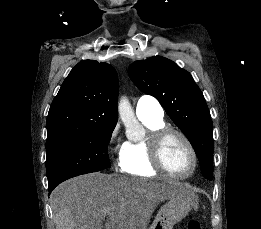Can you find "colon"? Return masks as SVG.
<instances>
[{
  "mask_svg": "<svg viewBox=\"0 0 261 229\" xmlns=\"http://www.w3.org/2000/svg\"><path fill=\"white\" fill-rule=\"evenodd\" d=\"M186 229H204L201 223L197 220H192L188 223Z\"/></svg>",
  "mask_w": 261,
  "mask_h": 229,
  "instance_id": "obj_1",
  "label": "colon"
}]
</instances>
